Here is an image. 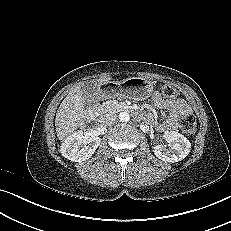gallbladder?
Instances as JSON below:
<instances>
[{
  "label": "gallbladder",
  "instance_id": "1",
  "mask_svg": "<svg viewBox=\"0 0 231 231\" xmlns=\"http://www.w3.org/2000/svg\"><path fill=\"white\" fill-rule=\"evenodd\" d=\"M98 90H99V84L95 81L85 82L80 89L82 95L86 97L93 96Z\"/></svg>",
  "mask_w": 231,
  "mask_h": 231
}]
</instances>
